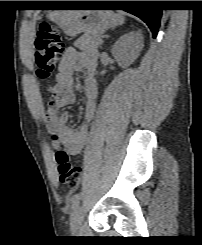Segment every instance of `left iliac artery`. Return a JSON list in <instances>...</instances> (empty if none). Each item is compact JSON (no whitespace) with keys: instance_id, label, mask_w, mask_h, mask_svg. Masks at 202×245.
<instances>
[{"instance_id":"1","label":"left iliac artery","mask_w":202,"mask_h":245,"mask_svg":"<svg viewBox=\"0 0 202 245\" xmlns=\"http://www.w3.org/2000/svg\"><path fill=\"white\" fill-rule=\"evenodd\" d=\"M81 198V193H77L72 197V207H76L79 203V200Z\"/></svg>"}]
</instances>
